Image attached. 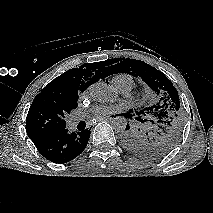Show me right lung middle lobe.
I'll return each instance as SVG.
<instances>
[{
    "instance_id": "obj_1",
    "label": "right lung middle lobe",
    "mask_w": 213,
    "mask_h": 213,
    "mask_svg": "<svg viewBox=\"0 0 213 213\" xmlns=\"http://www.w3.org/2000/svg\"><path fill=\"white\" fill-rule=\"evenodd\" d=\"M77 99L55 96L31 105L26 121L28 135H45L66 127L65 116L77 108Z\"/></svg>"
}]
</instances>
